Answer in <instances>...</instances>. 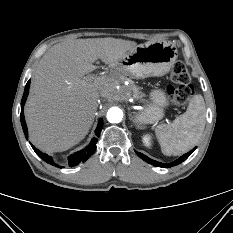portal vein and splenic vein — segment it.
<instances>
[{"label":"portal vein and splenic vein","instance_id":"18ae733b","mask_svg":"<svg viewBox=\"0 0 233 233\" xmlns=\"http://www.w3.org/2000/svg\"><path fill=\"white\" fill-rule=\"evenodd\" d=\"M89 79H93V77H92V76H90V77H89Z\"/></svg>","mask_w":233,"mask_h":233}]
</instances>
